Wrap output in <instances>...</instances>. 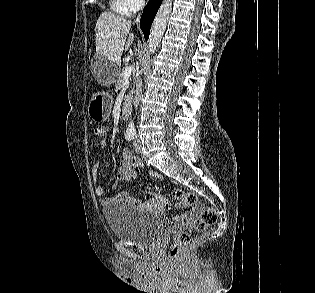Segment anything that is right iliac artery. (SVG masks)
<instances>
[{
	"label": "right iliac artery",
	"mask_w": 315,
	"mask_h": 293,
	"mask_svg": "<svg viewBox=\"0 0 315 293\" xmlns=\"http://www.w3.org/2000/svg\"><path fill=\"white\" fill-rule=\"evenodd\" d=\"M125 138H126L128 141H131L132 139L135 138V133H133V132H127V133L125 134Z\"/></svg>",
	"instance_id": "right-iliac-artery-1"
}]
</instances>
